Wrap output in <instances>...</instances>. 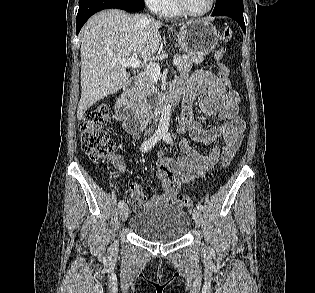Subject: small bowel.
<instances>
[{"label":"small bowel","instance_id":"small-bowel-1","mask_svg":"<svg viewBox=\"0 0 315 293\" xmlns=\"http://www.w3.org/2000/svg\"><path fill=\"white\" fill-rule=\"evenodd\" d=\"M185 100L183 113L178 119L179 133H188L187 138L180 141V149L185 156L170 159L160 154L156 160V177L163 192L147 200L139 185L132 184L136 190H127V200L140 211L150 204H166L177 202V194L184 184L194 181L200 175L210 170L221 157L234 156L240 146L245 122L239 116V96L236 91H229L227 85H222L221 79L209 71H196L188 82L178 81L172 86ZM204 95L199 107L207 116H216L222 122L214 127L205 128L193 116V104L196 98ZM217 139L223 140V146H214L207 153H202L194 147L195 143L211 145ZM116 165H123L113 159ZM137 202V203H136Z\"/></svg>","mask_w":315,"mask_h":293}]
</instances>
